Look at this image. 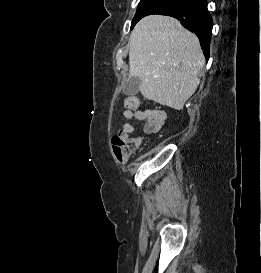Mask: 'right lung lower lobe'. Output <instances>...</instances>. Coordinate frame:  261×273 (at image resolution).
I'll return each mask as SVG.
<instances>
[{
	"label": "right lung lower lobe",
	"mask_w": 261,
	"mask_h": 273,
	"mask_svg": "<svg viewBox=\"0 0 261 273\" xmlns=\"http://www.w3.org/2000/svg\"><path fill=\"white\" fill-rule=\"evenodd\" d=\"M166 4L167 9L158 14L175 17L185 28L194 32L208 60L213 21L206 0H167Z\"/></svg>",
	"instance_id": "98d812e1"
}]
</instances>
